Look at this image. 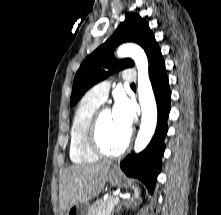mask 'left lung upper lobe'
I'll return each instance as SVG.
<instances>
[{
    "label": "left lung upper lobe",
    "mask_w": 221,
    "mask_h": 215,
    "mask_svg": "<svg viewBox=\"0 0 221 215\" xmlns=\"http://www.w3.org/2000/svg\"><path fill=\"white\" fill-rule=\"evenodd\" d=\"M125 42L139 44L145 50L149 63L160 51L148 22L139 14H129L112 37L81 64L74 78L70 105H75L89 88L106 79L113 71L134 66L131 59L118 61L114 58L115 48Z\"/></svg>",
    "instance_id": "obj_1"
}]
</instances>
